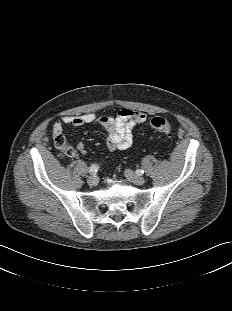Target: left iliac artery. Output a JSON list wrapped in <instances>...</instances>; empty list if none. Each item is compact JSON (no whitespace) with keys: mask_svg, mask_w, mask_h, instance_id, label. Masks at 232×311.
Listing matches in <instances>:
<instances>
[{"mask_svg":"<svg viewBox=\"0 0 232 311\" xmlns=\"http://www.w3.org/2000/svg\"><path fill=\"white\" fill-rule=\"evenodd\" d=\"M143 173H144V171L142 169H139V170L136 171L137 175H142Z\"/></svg>","mask_w":232,"mask_h":311,"instance_id":"obj_1","label":"left iliac artery"}]
</instances>
